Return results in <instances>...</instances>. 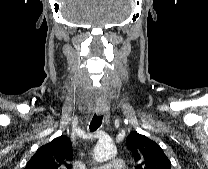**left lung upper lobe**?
Masks as SVG:
<instances>
[{"label":"left lung upper lobe","mask_w":208,"mask_h":169,"mask_svg":"<svg viewBox=\"0 0 208 169\" xmlns=\"http://www.w3.org/2000/svg\"><path fill=\"white\" fill-rule=\"evenodd\" d=\"M126 145L134 155L135 169H171L170 160L161 147L148 137L134 131L127 137Z\"/></svg>","instance_id":"5c2ea615"}]
</instances>
